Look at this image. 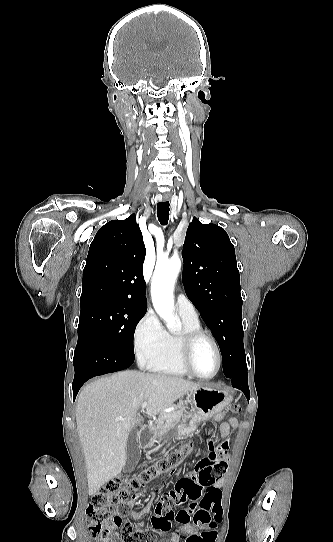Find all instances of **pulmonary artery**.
I'll return each mask as SVG.
<instances>
[{
  "mask_svg": "<svg viewBox=\"0 0 333 542\" xmlns=\"http://www.w3.org/2000/svg\"><path fill=\"white\" fill-rule=\"evenodd\" d=\"M176 311L179 315L193 321L198 320L197 311L192 302L183 293H178L176 298Z\"/></svg>",
  "mask_w": 333,
  "mask_h": 542,
  "instance_id": "pulmonary-artery-1",
  "label": "pulmonary artery"
}]
</instances>
